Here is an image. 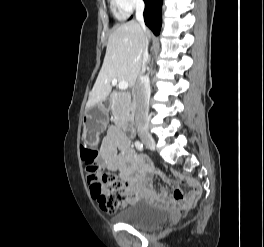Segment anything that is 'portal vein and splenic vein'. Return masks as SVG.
I'll return each instance as SVG.
<instances>
[{"instance_id": "18ae733b", "label": "portal vein and splenic vein", "mask_w": 264, "mask_h": 247, "mask_svg": "<svg viewBox=\"0 0 264 247\" xmlns=\"http://www.w3.org/2000/svg\"><path fill=\"white\" fill-rule=\"evenodd\" d=\"M116 82H117V80L116 79H114V80H112V84L113 85H115L116 84ZM128 82L127 81H119V83H118V87H119V89L120 90H125V89H127L128 88Z\"/></svg>"}]
</instances>
